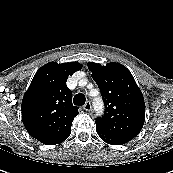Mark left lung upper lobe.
<instances>
[{
	"label": "left lung upper lobe",
	"instance_id": "5c2ea615",
	"mask_svg": "<svg viewBox=\"0 0 173 173\" xmlns=\"http://www.w3.org/2000/svg\"><path fill=\"white\" fill-rule=\"evenodd\" d=\"M105 104V114L96 120V129L112 138L128 142L141 131L145 103L132 74L119 63L101 66L88 63Z\"/></svg>",
	"mask_w": 173,
	"mask_h": 173
}]
</instances>
